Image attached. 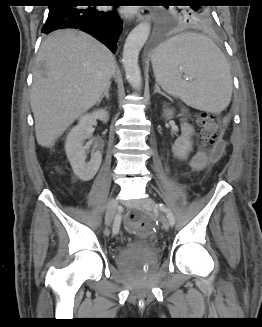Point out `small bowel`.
<instances>
[{
  "instance_id": "small-bowel-1",
  "label": "small bowel",
  "mask_w": 262,
  "mask_h": 327,
  "mask_svg": "<svg viewBox=\"0 0 262 327\" xmlns=\"http://www.w3.org/2000/svg\"><path fill=\"white\" fill-rule=\"evenodd\" d=\"M208 163V156L202 151L194 153L188 161L189 166L194 171L204 170L208 166Z\"/></svg>"
}]
</instances>
